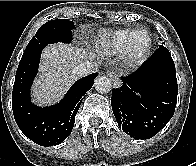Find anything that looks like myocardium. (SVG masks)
Returning a JSON list of instances; mask_svg holds the SVG:
<instances>
[{"label": "myocardium", "mask_w": 196, "mask_h": 166, "mask_svg": "<svg viewBox=\"0 0 196 166\" xmlns=\"http://www.w3.org/2000/svg\"><path fill=\"white\" fill-rule=\"evenodd\" d=\"M141 32L145 33L147 36V45L142 51L136 52L131 46V41L137 33H141ZM126 43H127V47L124 54L125 66L132 70L141 67L148 60L151 54L152 36L150 32L143 28L133 30L127 37Z\"/></svg>", "instance_id": "f54148a6"}]
</instances>
